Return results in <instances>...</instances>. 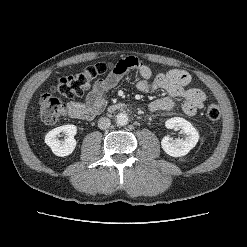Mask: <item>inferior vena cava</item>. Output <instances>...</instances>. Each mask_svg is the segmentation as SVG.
Instances as JSON below:
<instances>
[{"label": "inferior vena cava", "mask_w": 247, "mask_h": 247, "mask_svg": "<svg viewBox=\"0 0 247 247\" xmlns=\"http://www.w3.org/2000/svg\"><path fill=\"white\" fill-rule=\"evenodd\" d=\"M111 125V121L109 118H106V117H101L99 120H98V127L102 130H106L110 127Z\"/></svg>", "instance_id": "602c4592"}]
</instances>
